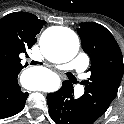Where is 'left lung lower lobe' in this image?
<instances>
[{
  "mask_svg": "<svg viewBox=\"0 0 124 124\" xmlns=\"http://www.w3.org/2000/svg\"><path fill=\"white\" fill-rule=\"evenodd\" d=\"M49 114L57 124H92L80 98L75 99L73 86L64 81L60 90L47 95Z\"/></svg>",
  "mask_w": 124,
  "mask_h": 124,
  "instance_id": "1",
  "label": "left lung lower lobe"
}]
</instances>
